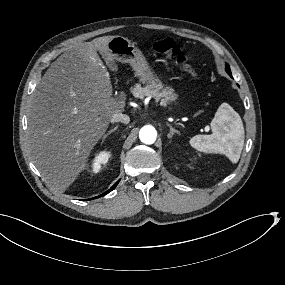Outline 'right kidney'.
I'll use <instances>...</instances> for the list:
<instances>
[{"mask_svg":"<svg viewBox=\"0 0 285 285\" xmlns=\"http://www.w3.org/2000/svg\"><path fill=\"white\" fill-rule=\"evenodd\" d=\"M110 157H111L110 151H101L98 154H96L91 165L92 171L94 173H98L101 170L102 165L107 164Z\"/></svg>","mask_w":285,"mask_h":285,"instance_id":"right-kidney-1","label":"right kidney"}]
</instances>
